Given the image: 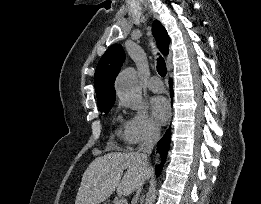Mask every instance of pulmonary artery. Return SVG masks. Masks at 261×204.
I'll return each mask as SVG.
<instances>
[{
  "label": "pulmonary artery",
  "mask_w": 261,
  "mask_h": 204,
  "mask_svg": "<svg viewBox=\"0 0 261 204\" xmlns=\"http://www.w3.org/2000/svg\"><path fill=\"white\" fill-rule=\"evenodd\" d=\"M148 88L154 93H161L164 90V85L160 78L153 76L148 81Z\"/></svg>",
  "instance_id": "e3ab8cb5"
}]
</instances>
